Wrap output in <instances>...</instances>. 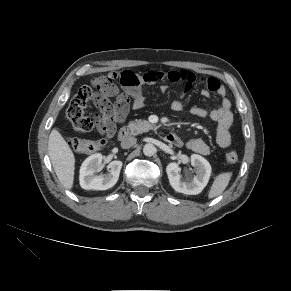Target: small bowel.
Masks as SVG:
<instances>
[{
  "mask_svg": "<svg viewBox=\"0 0 291 291\" xmlns=\"http://www.w3.org/2000/svg\"><path fill=\"white\" fill-rule=\"evenodd\" d=\"M111 86L106 91V105L101 109V125L100 129L103 133L111 135L114 132L117 123H121L127 117L130 109H140L144 104L143 87L155 85L161 81L181 82L184 84V93L189 92L197 81L194 73L188 70H150L144 74H136L132 71L112 72L106 77ZM118 80L121 89H119L113 81ZM98 81L95 80L94 83ZM215 82L212 85L211 82ZM205 88L202 90L204 97H210L211 93L217 94L221 98L220 104L212 109L205 107H191L190 113L197 117H209L217 125L216 142L221 148H226L231 143L230 128L233 123V113L231 110V102L226 96V89L220 82L213 77L203 79ZM166 86L162 85L161 90H165ZM107 97L115 98L112 103ZM184 108L180 100H174L171 103V109L179 112ZM178 138V137H177ZM174 145L181 147L184 142L178 138ZM190 151L207 154L209 146L202 138H193L185 143Z\"/></svg>",
  "mask_w": 291,
  "mask_h": 291,
  "instance_id": "obj_1",
  "label": "small bowel"
}]
</instances>
